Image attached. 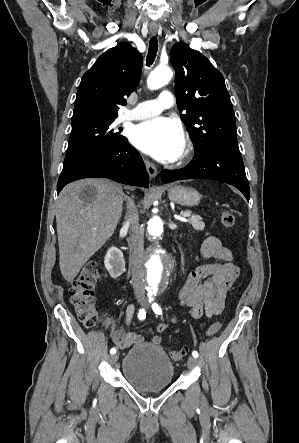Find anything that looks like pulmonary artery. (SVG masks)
<instances>
[{
    "label": "pulmonary artery",
    "mask_w": 299,
    "mask_h": 443,
    "mask_svg": "<svg viewBox=\"0 0 299 443\" xmlns=\"http://www.w3.org/2000/svg\"><path fill=\"white\" fill-rule=\"evenodd\" d=\"M175 103L173 94L170 91H162L155 100L142 101L136 106L126 111L122 115L123 120H142L160 114L164 109L172 107Z\"/></svg>",
    "instance_id": "pulmonary-artery-1"
}]
</instances>
